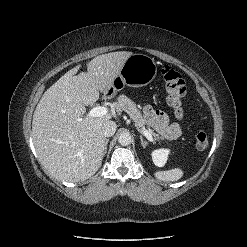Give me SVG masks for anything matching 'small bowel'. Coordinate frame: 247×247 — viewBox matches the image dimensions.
<instances>
[{"instance_id":"1","label":"small bowel","mask_w":247,"mask_h":247,"mask_svg":"<svg viewBox=\"0 0 247 247\" xmlns=\"http://www.w3.org/2000/svg\"><path fill=\"white\" fill-rule=\"evenodd\" d=\"M144 117L147 123L163 137L174 139L180 135L179 125L171 122L165 112L155 110L153 107L147 105L144 108Z\"/></svg>"}]
</instances>
